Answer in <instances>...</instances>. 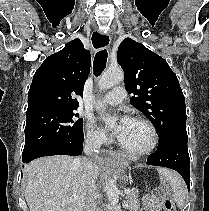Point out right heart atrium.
Returning <instances> with one entry per match:
<instances>
[{"instance_id": "obj_1", "label": "right heart atrium", "mask_w": 209, "mask_h": 211, "mask_svg": "<svg viewBox=\"0 0 209 211\" xmlns=\"http://www.w3.org/2000/svg\"><path fill=\"white\" fill-rule=\"evenodd\" d=\"M86 141L91 145L99 146L107 143L109 138L101 129L88 122L86 125Z\"/></svg>"}]
</instances>
